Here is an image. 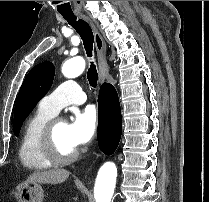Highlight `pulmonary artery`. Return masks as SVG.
<instances>
[{
	"label": "pulmonary artery",
	"instance_id": "1",
	"mask_svg": "<svg viewBox=\"0 0 209 202\" xmlns=\"http://www.w3.org/2000/svg\"><path fill=\"white\" fill-rule=\"evenodd\" d=\"M86 100V95L76 80H66L59 84L50 94L44 96L39 106L51 115L68 105H80Z\"/></svg>",
	"mask_w": 209,
	"mask_h": 202
}]
</instances>
